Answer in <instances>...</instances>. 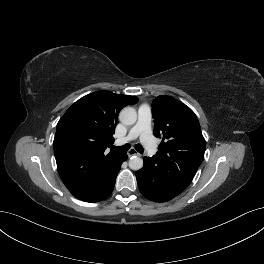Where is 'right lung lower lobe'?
I'll use <instances>...</instances> for the list:
<instances>
[{
  "instance_id": "98d812e1",
  "label": "right lung lower lobe",
  "mask_w": 264,
  "mask_h": 264,
  "mask_svg": "<svg viewBox=\"0 0 264 264\" xmlns=\"http://www.w3.org/2000/svg\"><path fill=\"white\" fill-rule=\"evenodd\" d=\"M127 159V154L126 153H123L122 156L119 158V160L117 161L116 165H115V168L113 170V173L111 175V179H110V184H109V187L108 189L106 190V192L96 201H101L103 199H105L106 197H108L112 191H113V188H114V185H115V181H116V177H117V174L118 172L120 171V168H121V164ZM95 201V202H96Z\"/></svg>"
}]
</instances>
